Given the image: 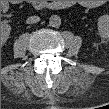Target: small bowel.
Masks as SVG:
<instances>
[{
  "instance_id": "small-bowel-1",
  "label": "small bowel",
  "mask_w": 109,
  "mask_h": 109,
  "mask_svg": "<svg viewBox=\"0 0 109 109\" xmlns=\"http://www.w3.org/2000/svg\"><path fill=\"white\" fill-rule=\"evenodd\" d=\"M86 5H87L88 7H94V6H95L94 2H87Z\"/></svg>"
}]
</instances>
